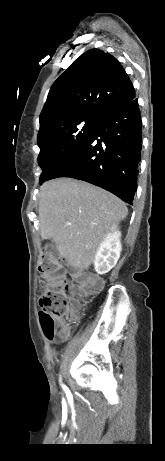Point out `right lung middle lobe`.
I'll list each match as a JSON object with an SVG mask.
<instances>
[{
	"label": "right lung middle lobe",
	"mask_w": 165,
	"mask_h": 461,
	"mask_svg": "<svg viewBox=\"0 0 165 461\" xmlns=\"http://www.w3.org/2000/svg\"><path fill=\"white\" fill-rule=\"evenodd\" d=\"M99 118L80 116L59 121L37 137L40 147L38 164L42 168L40 184L78 150L96 129Z\"/></svg>",
	"instance_id": "obj_1"
}]
</instances>
